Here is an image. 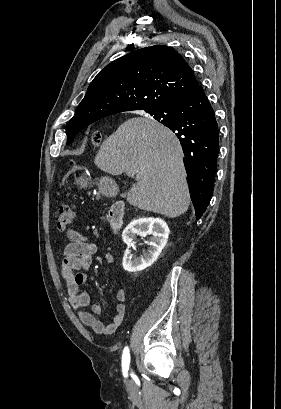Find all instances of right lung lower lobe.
I'll list each match as a JSON object with an SVG mask.
<instances>
[{
  "label": "right lung lower lobe",
  "instance_id": "obj_1",
  "mask_svg": "<svg viewBox=\"0 0 281 409\" xmlns=\"http://www.w3.org/2000/svg\"><path fill=\"white\" fill-rule=\"evenodd\" d=\"M175 132L185 155V169L196 219L206 210L215 181L219 129L214 111L201 86L185 98L148 112Z\"/></svg>",
  "mask_w": 281,
  "mask_h": 409
}]
</instances>
